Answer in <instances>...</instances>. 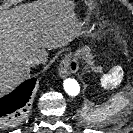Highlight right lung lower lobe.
Masks as SVG:
<instances>
[{"instance_id":"obj_1","label":"right lung lower lobe","mask_w":133,"mask_h":133,"mask_svg":"<svg viewBox=\"0 0 133 133\" xmlns=\"http://www.w3.org/2000/svg\"><path fill=\"white\" fill-rule=\"evenodd\" d=\"M36 80L29 79L19 85L12 93L0 98V124L12 126L18 124L29 104Z\"/></svg>"}]
</instances>
